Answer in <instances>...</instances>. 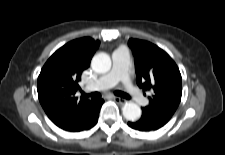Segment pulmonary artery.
Here are the masks:
<instances>
[{
    "instance_id": "obj_1",
    "label": "pulmonary artery",
    "mask_w": 225,
    "mask_h": 155,
    "mask_svg": "<svg viewBox=\"0 0 225 155\" xmlns=\"http://www.w3.org/2000/svg\"><path fill=\"white\" fill-rule=\"evenodd\" d=\"M113 67L110 72L101 76L91 87V90H105L122 82L125 91L138 103L145 104L146 98L132 84L128 75L129 52L125 47H120L112 54Z\"/></svg>"
}]
</instances>
